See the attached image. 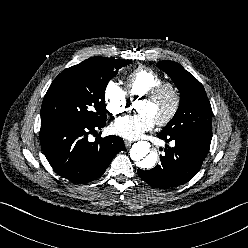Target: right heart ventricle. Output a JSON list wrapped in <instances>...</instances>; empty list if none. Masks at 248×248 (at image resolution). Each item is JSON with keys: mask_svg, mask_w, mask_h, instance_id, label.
Here are the masks:
<instances>
[{"mask_svg": "<svg viewBox=\"0 0 248 248\" xmlns=\"http://www.w3.org/2000/svg\"><path fill=\"white\" fill-rule=\"evenodd\" d=\"M162 81L160 74L147 67H140L131 72L125 80L128 94L135 98L146 93Z\"/></svg>", "mask_w": 248, "mask_h": 248, "instance_id": "e07e8e85", "label": "right heart ventricle"}]
</instances>
